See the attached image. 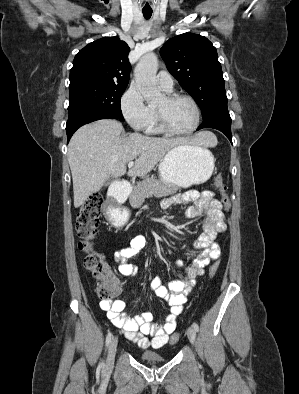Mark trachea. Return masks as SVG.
<instances>
[{"label": "trachea", "mask_w": 299, "mask_h": 394, "mask_svg": "<svg viewBox=\"0 0 299 394\" xmlns=\"http://www.w3.org/2000/svg\"><path fill=\"white\" fill-rule=\"evenodd\" d=\"M142 13L146 20L150 19L152 16V11H142Z\"/></svg>", "instance_id": "trachea-1"}]
</instances>
